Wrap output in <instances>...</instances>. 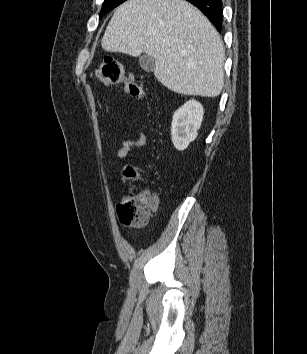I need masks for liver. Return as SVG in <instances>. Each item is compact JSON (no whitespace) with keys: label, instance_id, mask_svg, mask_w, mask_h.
I'll use <instances>...</instances> for the list:
<instances>
[{"label":"liver","instance_id":"1","mask_svg":"<svg viewBox=\"0 0 307 354\" xmlns=\"http://www.w3.org/2000/svg\"><path fill=\"white\" fill-rule=\"evenodd\" d=\"M103 50L147 53L154 75L179 94L218 96L224 85L223 43L210 21L184 0H128L112 16Z\"/></svg>","mask_w":307,"mask_h":354}]
</instances>
